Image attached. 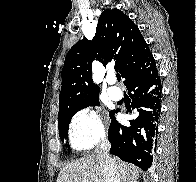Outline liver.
Listing matches in <instances>:
<instances>
[{"label":"liver","instance_id":"liver-1","mask_svg":"<svg viewBox=\"0 0 196 182\" xmlns=\"http://www.w3.org/2000/svg\"><path fill=\"white\" fill-rule=\"evenodd\" d=\"M120 182H137L139 169L114 157ZM56 182H103L100 159L97 155H88L67 164L60 170Z\"/></svg>","mask_w":196,"mask_h":182}]
</instances>
